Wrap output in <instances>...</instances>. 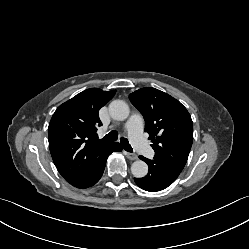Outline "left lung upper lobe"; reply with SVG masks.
Returning a JSON list of instances; mask_svg holds the SVG:
<instances>
[{"mask_svg":"<svg viewBox=\"0 0 249 249\" xmlns=\"http://www.w3.org/2000/svg\"><path fill=\"white\" fill-rule=\"evenodd\" d=\"M129 99L145 119L154 160L181 172L193 141V122L187 109L175 98L152 87L131 93Z\"/></svg>","mask_w":249,"mask_h":249,"instance_id":"left-lung-upper-lobe-1","label":"left lung upper lobe"}]
</instances>
